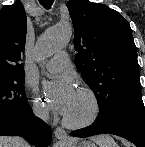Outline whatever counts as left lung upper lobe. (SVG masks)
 Returning a JSON list of instances; mask_svg holds the SVG:
<instances>
[{
  "label": "left lung upper lobe",
  "instance_id": "left-lung-upper-lobe-1",
  "mask_svg": "<svg viewBox=\"0 0 145 147\" xmlns=\"http://www.w3.org/2000/svg\"><path fill=\"white\" fill-rule=\"evenodd\" d=\"M74 26L75 65L99 105L96 122L104 125L120 113L144 106L137 51L126 19L89 0H69Z\"/></svg>",
  "mask_w": 145,
  "mask_h": 147
}]
</instances>
